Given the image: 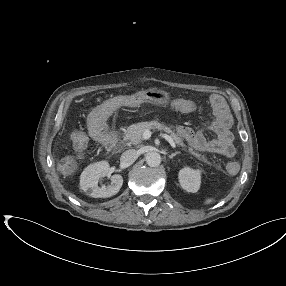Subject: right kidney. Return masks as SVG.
<instances>
[{"instance_id":"1","label":"right kidney","mask_w":286,"mask_h":286,"mask_svg":"<svg viewBox=\"0 0 286 286\" xmlns=\"http://www.w3.org/2000/svg\"><path fill=\"white\" fill-rule=\"evenodd\" d=\"M110 166L106 161H100L87 166L80 176V187L94 198H108L117 194L122 187L123 178L119 174L111 176V185L98 186L100 178L109 174Z\"/></svg>"}]
</instances>
